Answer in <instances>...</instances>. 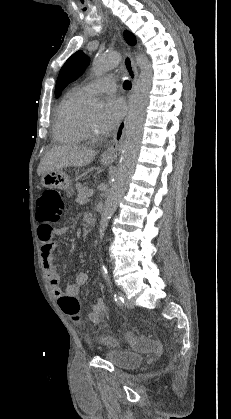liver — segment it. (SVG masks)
Segmentation results:
<instances>
[{
    "label": "liver",
    "instance_id": "6515ba94",
    "mask_svg": "<svg viewBox=\"0 0 231 419\" xmlns=\"http://www.w3.org/2000/svg\"><path fill=\"white\" fill-rule=\"evenodd\" d=\"M96 151L75 145L57 146L49 150L41 159L38 175L64 167H82L93 161Z\"/></svg>",
    "mask_w": 231,
    "mask_h": 419
}]
</instances>
